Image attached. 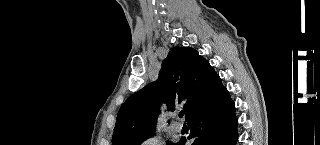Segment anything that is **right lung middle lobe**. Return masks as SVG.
Wrapping results in <instances>:
<instances>
[{
  "label": "right lung middle lobe",
  "mask_w": 320,
  "mask_h": 145,
  "mask_svg": "<svg viewBox=\"0 0 320 145\" xmlns=\"http://www.w3.org/2000/svg\"><path fill=\"white\" fill-rule=\"evenodd\" d=\"M154 133H150V134H147V135H144L142 136L141 138H139L138 140H136L135 142H133L131 145H140L144 140H146L147 138L153 136ZM168 145H175L171 142H168Z\"/></svg>",
  "instance_id": "dd1d6c3e"
}]
</instances>
